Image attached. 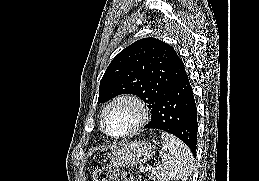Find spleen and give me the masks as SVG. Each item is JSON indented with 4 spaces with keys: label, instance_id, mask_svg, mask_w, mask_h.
Segmentation results:
<instances>
[{
    "label": "spleen",
    "instance_id": "3e777b00",
    "mask_svg": "<svg viewBox=\"0 0 259 181\" xmlns=\"http://www.w3.org/2000/svg\"><path fill=\"white\" fill-rule=\"evenodd\" d=\"M163 147L161 161L152 170L151 178L156 181H187L193 171V155L186 144L172 134L162 132Z\"/></svg>",
    "mask_w": 259,
    "mask_h": 181
}]
</instances>
